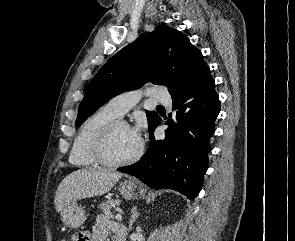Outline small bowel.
I'll list each match as a JSON object with an SVG mask.
<instances>
[{
	"label": "small bowel",
	"mask_w": 295,
	"mask_h": 241,
	"mask_svg": "<svg viewBox=\"0 0 295 241\" xmlns=\"http://www.w3.org/2000/svg\"><path fill=\"white\" fill-rule=\"evenodd\" d=\"M83 233L87 237L86 241H106L110 234L114 236V241H125L126 230L122 225L100 214L96 217L92 231Z\"/></svg>",
	"instance_id": "small-bowel-1"
}]
</instances>
